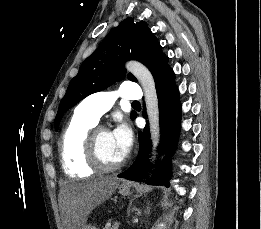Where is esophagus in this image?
Listing matches in <instances>:
<instances>
[{"instance_id": "34e87169", "label": "esophagus", "mask_w": 261, "mask_h": 229, "mask_svg": "<svg viewBox=\"0 0 261 229\" xmlns=\"http://www.w3.org/2000/svg\"><path fill=\"white\" fill-rule=\"evenodd\" d=\"M123 184H126V185H127L128 183H127V182H125V183H123Z\"/></svg>"}]
</instances>
